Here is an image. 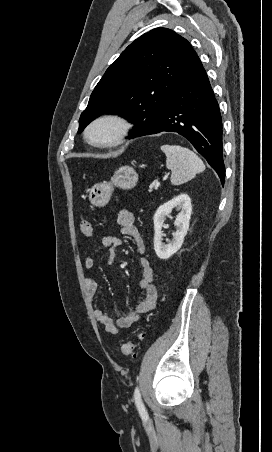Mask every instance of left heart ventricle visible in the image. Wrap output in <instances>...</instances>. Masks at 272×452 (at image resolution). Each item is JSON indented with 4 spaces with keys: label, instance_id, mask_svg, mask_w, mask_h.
Segmentation results:
<instances>
[{
    "label": "left heart ventricle",
    "instance_id": "left-heart-ventricle-1",
    "mask_svg": "<svg viewBox=\"0 0 272 452\" xmlns=\"http://www.w3.org/2000/svg\"><path fill=\"white\" fill-rule=\"evenodd\" d=\"M112 133V129L109 126L103 125L95 129V131L92 134V138L95 140H105L107 139Z\"/></svg>",
    "mask_w": 272,
    "mask_h": 452
}]
</instances>
